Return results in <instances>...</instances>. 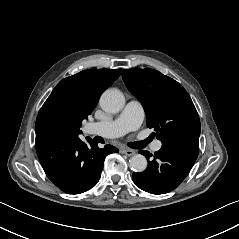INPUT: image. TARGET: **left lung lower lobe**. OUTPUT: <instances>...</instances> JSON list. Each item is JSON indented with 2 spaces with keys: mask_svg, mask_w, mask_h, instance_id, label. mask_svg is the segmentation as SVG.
<instances>
[{
  "mask_svg": "<svg viewBox=\"0 0 239 239\" xmlns=\"http://www.w3.org/2000/svg\"><path fill=\"white\" fill-rule=\"evenodd\" d=\"M199 150V141L178 139L162 143L154 157L148 151H139L148 160L147 169L133 173L137 187L151 194H165L185 179L194 165Z\"/></svg>",
  "mask_w": 239,
  "mask_h": 239,
  "instance_id": "obj_1",
  "label": "left lung lower lobe"
}]
</instances>
